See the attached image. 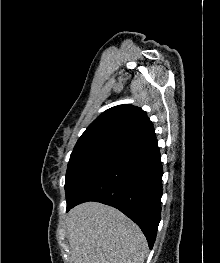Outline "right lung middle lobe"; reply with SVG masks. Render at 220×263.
<instances>
[{"instance_id": "1", "label": "right lung middle lobe", "mask_w": 220, "mask_h": 263, "mask_svg": "<svg viewBox=\"0 0 220 263\" xmlns=\"http://www.w3.org/2000/svg\"><path fill=\"white\" fill-rule=\"evenodd\" d=\"M120 151L93 149L73 151L68 162L65 181L67 205L72 203L96 173Z\"/></svg>"}]
</instances>
